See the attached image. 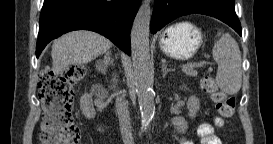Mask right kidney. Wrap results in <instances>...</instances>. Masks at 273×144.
Here are the masks:
<instances>
[{
  "instance_id": "1",
  "label": "right kidney",
  "mask_w": 273,
  "mask_h": 144,
  "mask_svg": "<svg viewBox=\"0 0 273 144\" xmlns=\"http://www.w3.org/2000/svg\"><path fill=\"white\" fill-rule=\"evenodd\" d=\"M80 108L82 110L83 115L86 118H94L96 113L93 107L92 98L90 95L85 94L80 99Z\"/></svg>"
}]
</instances>
